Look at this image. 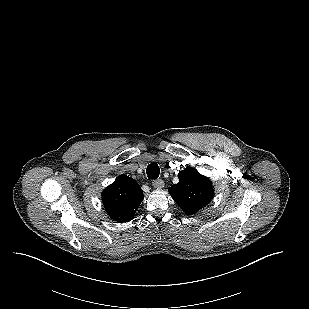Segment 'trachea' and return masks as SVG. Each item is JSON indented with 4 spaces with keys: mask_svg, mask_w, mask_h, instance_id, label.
<instances>
[{
    "mask_svg": "<svg viewBox=\"0 0 309 309\" xmlns=\"http://www.w3.org/2000/svg\"><path fill=\"white\" fill-rule=\"evenodd\" d=\"M147 176L150 179H157L159 177L160 168L157 163L152 162L148 165L146 170Z\"/></svg>",
    "mask_w": 309,
    "mask_h": 309,
    "instance_id": "3493384b",
    "label": "trachea"
}]
</instances>
